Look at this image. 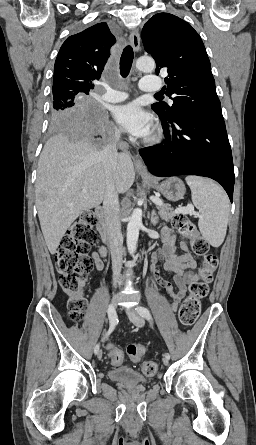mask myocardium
<instances>
[{
    "mask_svg": "<svg viewBox=\"0 0 256 445\" xmlns=\"http://www.w3.org/2000/svg\"><path fill=\"white\" fill-rule=\"evenodd\" d=\"M162 139V132L160 129L155 130L147 139V143L156 144Z\"/></svg>",
    "mask_w": 256,
    "mask_h": 445,
    "instance_id": "f54148a6",
    "label": "myocardium"
}]
</instances>
